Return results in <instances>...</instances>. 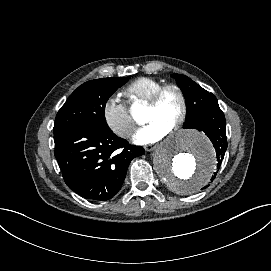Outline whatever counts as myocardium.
I'll return each instance as SVG.
<instances>
[{
	"instance_id": "f54148a6",
	"label": "myocardium",
	"mask_w": 271,
	"mask_h": 271,
	"mask_svg": "<svg viewBox=\"0 0 271 271\" xmlns=\"http://www.w3.org/2000/svg\"><path fill=\"white\" fill-rule=\"evenodd\" d=\"M170 89H174L180 94V97L182 99V105H183L182 112H181L180 116L174 121L172 128H171V130H176L186 122V120L189 116V111H190V104H189L188 95H187L185 89L180 84H178V83L162 84L156 90V92L153 94V96H152L151 100L148 102L147 106L152 107L154 109H158L161 105L162 98H163L164 94Z\"/></svg>"
}]
</instances>
